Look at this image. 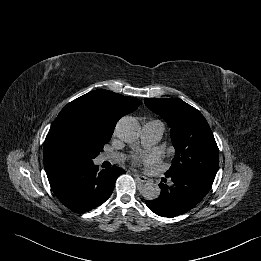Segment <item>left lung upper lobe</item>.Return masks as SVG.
<instances>
[{"mask_svg": "<svg viewBox=\"0 0 261 261\" xmlns=\"http://www.w3.org/2000/svg\"><path fill=\"white\" fill-rule=\"evenodd\" d=\"M144 101L171 128L175 156L165 176L192 172L215 178L219 166V150L204 116L181 99L146 98Z\"/></svg>", "mask_w": 261, "mask_h": 261, "instance_id": "1", "label": "left lung upper lobe"}]
</instances>
